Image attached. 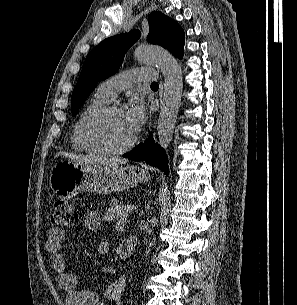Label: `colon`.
I'll return each instance as SVG.
<instances>
[{
    "label": "colon",
    "instance_id": "obj_1",
    "mask_svg": "<svg viewBox=\"0 0 297 305\" xmlns=\"http://www.w3.org/2000/svg\"><path fill=\"white\" fill-rule=\"evenodd\" d=\"M78 221L77 214L65 200H57L53 206L51 223L55 228H65L75 225Z\"/></svg>",
    "mask_w": 297,
    "mask_h": 305
}]
</instances>
